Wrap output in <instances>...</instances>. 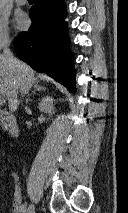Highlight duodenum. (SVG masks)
<instances>
[{
    "label": "duodenum",
    "mask_w": 128,
    "mask_h": 213,
    "mask_svg": "<svg viewBox=\"0 0 128 213\" xmlns=\"http://www.w3.org/2000/svg\"><path fill=\"white\" fill-rule=\"evenodd\" d=\"M0 124L4 127V129L10 136H18L19 126L14 115L6 111L0 110Z\"/></svg>",
    "instance_id": "410a0bca"
}]
</instances>
